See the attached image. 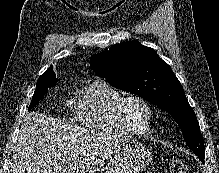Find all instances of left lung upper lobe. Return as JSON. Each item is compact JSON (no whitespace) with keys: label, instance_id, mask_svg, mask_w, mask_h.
Returning <instances> with one entry per match:
<instances>
[{"label":"left lung upper lobe","instance_id":"5c2ea615","mask_svg":"<svg viewBox=\"0 0 219 173\" xmlns=\"http://www.w3.org/2000/svg\"><path fill=\"white\" fill-rule=\"evenodd\" d=\"M90 66L113 87L141 96L170 113L182 129L188 147L195 154L205 156L195 112L171 67L154 49L138 41L116 44L92 55Z\"/></svg>","mask_w":219,"mask_h":173}]
</instances>
